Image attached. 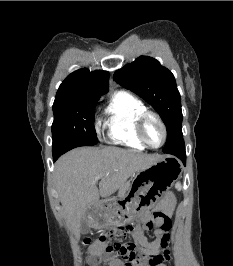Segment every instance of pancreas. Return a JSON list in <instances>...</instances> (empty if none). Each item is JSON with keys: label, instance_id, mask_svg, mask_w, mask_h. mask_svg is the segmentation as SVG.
<instances>
[{"label": "pancreas", "instance_id": "cf45deb5", "mask_svg": "<svg viewBox=\"0 0 233 266\" xmlns=\"http://www.w3.org/2000/svg\"><path fill=\"white\" fill-rule=\"evenodd\" d=\"M128 189H129V183L125 184L123 187L120 188L119 196H123Z\"/></svg>", "mask_w": 233, "mask_h": 266}]
</instances>
